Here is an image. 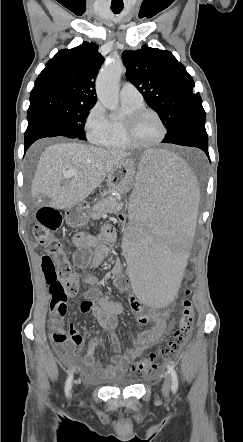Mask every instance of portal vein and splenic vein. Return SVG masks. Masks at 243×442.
I'll return each mask as SVG.
<instances>
[{
    "label": "portal vein and splenic vein",
    "instance_id": "portal-vein-and-splenic-vein-1",
    "mask_svg": "<svg viewBox=\"0 0 243 442\" xmlns=\"http://www.w3.org/2000/svg\"><path fill=\"white\" fill-rule=\"evenodd\" d=\"M76 175H77V172L74 169H70V170L63 173V176L65 179H69V178L76 176Z\"/></svg>",
    "mask_w": 243,
    "mask_h": 442
}]
</instances>
